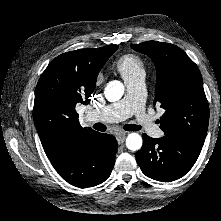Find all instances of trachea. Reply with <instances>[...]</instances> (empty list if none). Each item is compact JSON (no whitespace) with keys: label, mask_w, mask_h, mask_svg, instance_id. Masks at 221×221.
<instances>
[{"label":"trachea","mask_w":221,"mask_h":221,"mask_svg":"<svg viewBox=\"0 0 221 221\" xmlns=\"http://www.w3.org/2000/svg\"><path fill=\"white\" fill-rule=\"evenodd\" d=\"M125 128L128 129V130H131V131H136V130L140 129L138 126L133 125V124L126 125ZM94 129L98 130V131H105L106 130V126L104 124H101V123H96L94 125Z\"/></svg>","instance_id":"trachea-1"}]
</instances>
